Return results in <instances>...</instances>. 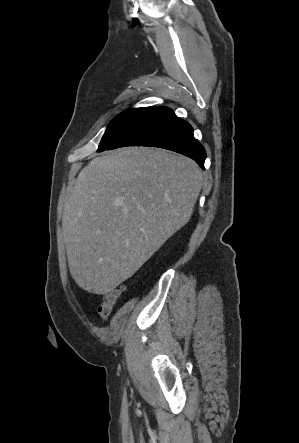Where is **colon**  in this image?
<instances>
[{
    "label": "colon",
    "instance_id": "colon-1",
    "mask_svg": "<svg viewBox=\"0 0 299 443\" xmlns=\"http://www.w3.org/2000/svg\"><path fill=\"white\" fill-rule=\"evenodd\" d=\"M123 290L124 287L121 286L104 296L102 302L98 307V313L103 319H106L110 316Z\"/></svg>",
    "mask_w": 299,
    "mask_h": 443
}]
</instances>
